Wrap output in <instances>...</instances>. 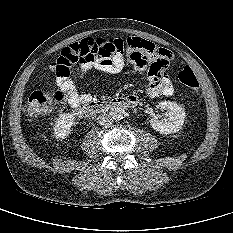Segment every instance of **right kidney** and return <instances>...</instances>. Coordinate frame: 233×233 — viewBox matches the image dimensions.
Segmentation results:
<instances>
[{
    "mask_svg": "<svg viewBox=\"0 0 233 233\" xmlns=\"http://www.w3.org/2000/svg\"><path fill=\"white\" fill-rule=\"evenodd\" d=\"M74 119L71 113H63L56 119L54 126V136L56 139L63 140L69 136Z\"/></svg>",
    "mask_w": 233,
    "mask_h": 233,
    "instance_id": "right-kidney-1",
    "label": "right kidney"
}]
</instances>
